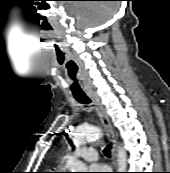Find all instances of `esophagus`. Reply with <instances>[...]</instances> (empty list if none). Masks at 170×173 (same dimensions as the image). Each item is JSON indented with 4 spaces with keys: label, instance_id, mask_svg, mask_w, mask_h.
Returning <instances> with one entry per match:
<instances>
[{
    "label": "esophagus",
    "instance_id": "1",
    "mask_svg": "<svg viewBox=\"0 0 170 173\" xmlns=\"http://www.w3.org/2000/svg\"><path fill=\"white\" fill-rule=\"evenodd\" d=\"M88 96L89 98L92 100V102L94 103L97 113L101 119V122L107 132V136L111 142L112 148H111V155H112V163L113 165H115V155H116V139H115V135L112 129V125L109 119L108 114L106 113L105 108L102 106V104L100 103L99 98L97 97V95L94 92H88Z\"/></svg>",
    "mask_w": 170,
    "mask_h": 173
}]
</instances>
